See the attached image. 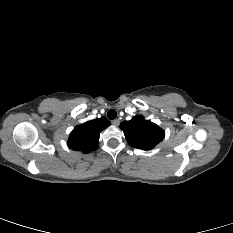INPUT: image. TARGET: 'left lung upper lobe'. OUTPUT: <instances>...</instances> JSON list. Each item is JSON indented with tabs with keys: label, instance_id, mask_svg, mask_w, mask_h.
Masks as SVG:
<instances>
[{
	"label": "left lung upper lobe",
	"instance_id": "obj_1",
	"mask_svg": "<svg viewBox=\"0 0 233 233\" xmlns=\"http://www.w3.org/2000/svg\"><path fill=\"white\" fill-rule=\"evenodd\" d=\"M128 144L132 147L150 150L160 143L165 132L155 123L144 120L141 115L121 123Z\"/></svg>",
	"mask_w": 233,
	"mask_h": 233
}]
</instances>
